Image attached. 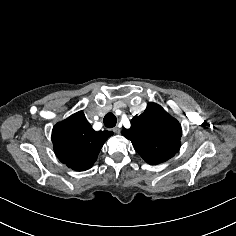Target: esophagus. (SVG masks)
<instances>
[{
    "label": "esophagus",
    "mask_w": 236,
    "mask_h": 236,
    "mask_svg": "<svg viewBox=\"0 0 236 236\" xmlns=\"http://www.w3.org/2000/svg\"><path fill=\"white\" fill-rule=\"evenodd\" d=\"M113 131L116 133V134H119L120 133V128L118 126L114 127L113 128Z\"/></svg>",
    "instance_id": "34e87169"
}]
</instances>
